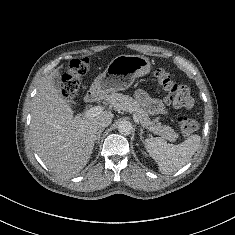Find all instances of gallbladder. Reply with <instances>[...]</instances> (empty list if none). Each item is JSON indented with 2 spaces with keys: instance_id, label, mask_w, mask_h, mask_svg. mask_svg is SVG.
<instances>
[{
  "instance_id": "obj_1",
  "label": "gallbladder",
  "mask_w": 235,
  "mask_h": 235,
  "mask_svg": "<svg viewBox=\"0 0 235 235\" xmlns=\"http://www.w3.org/2000/svg\"><path fill=\"white\" fill-rule=\"evenodd\" d=\"M54 83H55L56 88L59 90V87H60V85H61L59 74H56V75L54 76ZM69 106H70V107H73V106H74L73 102H70V103H69Z\"/></svg>"
}]
</instances>
